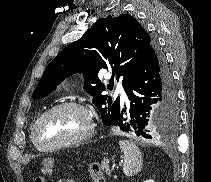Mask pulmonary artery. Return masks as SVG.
Here are the masks:
<instances>
[{
	"mask_svg": "<svg viewBox=\"0 0 211 182\" xmlns=\"http://www.w3.org/2000/svg\"><path fill=\"white\" fill-rule=\"evenodd\" d=\"M116 91L118 94H120L122 101L128 102L127 95L122 87H118Z\"/></svg>",
	"mask_w": 211,
	"mask_h": 182,
	"instance_id": "obj_1",
	"label": "pulmonary artery"
}]
</instances>
